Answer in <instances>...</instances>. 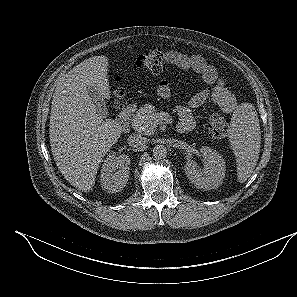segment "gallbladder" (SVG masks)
I'll list each match as a JSON object with an SVG mask.
<instances>
[{
	"instance_id": "bac80fb5",
	"label": "gallbladder",
	"mask_w": 297,
	"mask_h": 297,
	"mask_svg": "<svg viewBox=\"0 0 297 297\" xmlns=\"http://www.w3.org/2000/svg\"><path fill=\"white\" fill-rule=\"evenodd\" d=\"M86 89H87V93H88L89 97L92 99V102L98 109L100 115L104 118L107 117L108 110L106 107V103H105L104 98L99 93V91L96 88L91 87V86H87Z\"/></svg>"
}]
</instances>
